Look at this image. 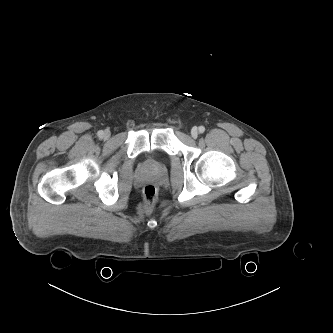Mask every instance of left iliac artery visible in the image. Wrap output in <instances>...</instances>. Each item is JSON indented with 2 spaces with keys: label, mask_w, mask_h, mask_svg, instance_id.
Returning <instances> with one entry per match:
<instances>
[{
  "label": "left iliac artery",
  "mask_w": 333,
  "mask_h": 333,
  "mask_svg": "<svg viewBox=\"0 0 333 333\" xmlns=\"http://www.w3.org/2000/svg\"><path fill=\"white\" fill-rule=\"evenodd\" d=\"M204 131H205V127H204V126H200V127H199V132H200V133H203Z\"/></svg>",
  "instance_id": "obj_1"
}]
</instances>
